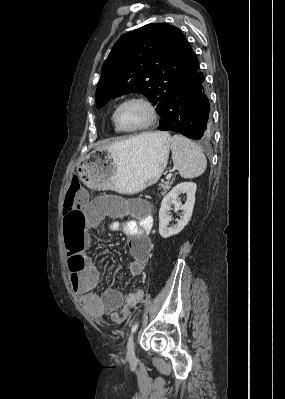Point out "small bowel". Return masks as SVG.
I'll return each mask as SVG.
<instances>
[{"label":"small bowel","instance_id":"obj_1","mask_svg":"<svg viewBox=\"0 0 285 399\" xmlns=\"http://www.w3.org/2000/svg\"><path fill=\"white\" fill-rule=\"evenodd\" d=\"M78 206L79 211L85 206ZM97 210L100 217L117 218L110 226L111 232H121L127 237V246L131 259L126 265L127 273L132 278L139 277L145 267L150 256V239L149 235L152 230L154 220L149 214H137L125 218L124 202L118 197L111 195L101 198L97 204ZM81 212V211H80ZM95 223L89 224L79 223L74 227H70L67 223L64 225V233L72 231L76 240L83 244L84 247L90 249L92 241L90 231L94 228ZM102 281L100 270L95 266L91 256H86L85 267L70 276V284L72 290L81 305L91 312L94 318L105 320L108 325H118L123 319L116 321L113 317L119 312L120 308L130 303L135 307L143 299L142 291L138 290L124 295L116 289H105L101 295L93 293Z\"/></svg>","mask_w":285,"mask_h":399}]
</instances>
